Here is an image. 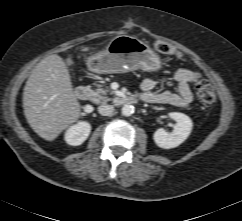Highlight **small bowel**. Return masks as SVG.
<instances>
[{
    "instance_id": "small-bowel-1",
    "label": "small bowel",
    "mask_w": 242,
    "mask_h": 221,
    "mask_svg": "<svg viewBox=\"0 0 242 221\" xmlns=\"http://www.w3.org/2000/svg\"><path fill=\"white\" fill-rule=\"evenodd\" d=\"M194 72L187 68H179L173 74L177 91H154L156 82L153 79H145L141 84V97L143 101L153 104H169L177 107H188L192 100V83Z\"/></svg>"
}]
</instances>
